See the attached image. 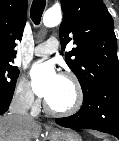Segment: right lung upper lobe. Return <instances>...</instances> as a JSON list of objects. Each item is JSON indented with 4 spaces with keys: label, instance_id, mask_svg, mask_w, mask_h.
I'll return each instance as SVG.
<instances>
[{
    "label": "right lung upper lobe",
    "instance_id": "right-lung-upper-lobe-1",
    "mask_svg": "<svg viewBox=\"0 0 119 141\" xmlns=\"http://www.w3.org/2000/svg\"><path fill=\"white\" fill-rule=\"evenodd\" d=\"M27 0H0V61L16 57L26 23Z\"/></svg>",
    "mask_w": 119,
    "mask_h": 141
}]
</instances>
